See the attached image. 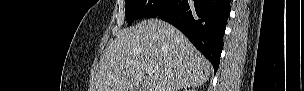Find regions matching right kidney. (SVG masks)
Returning a JSON list of instances; mask_svg holds the SVG:
<instances>
[{
    "label": "right kidney",
    "instance_id": "obj_1",
    "mask_svg": "<svg viewBox=\"0 0 304 91\" xmlns=\"http://www.w3.org/2000/svg\"><path fill=\"white\" fill-rule=\"evenodd\" d=\"M187 91V90H186ZM188 91H194V89H189Z\"/></svg>",
    "mask_w": 304,
    "mask_h": 91
}]
</instances>
